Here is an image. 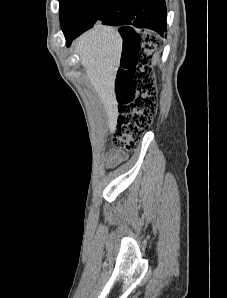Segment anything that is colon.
<instances>
[{
	"mask_svg": "<svg viewBox=\"0 0 227 298\" xmlns=\"http://www.w3.org/2000/svg\"><path fill=\"white\" fill-rule=\"evenodd\" d=\"M141 40L144 45L139 48ZM158 43L152 35L140 37L137 48L122 60L115 81L119 116L113 145L117 149L132 150L156 114L157 97L149 65Z\"/></svg>",
	"mask_w": 227,
	"mask_h": 298,
	"instance_id": "obj_1",
	"label": "colon"
}]
</instances>
